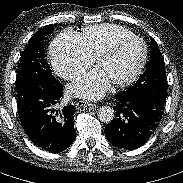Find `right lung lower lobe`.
I'll return each instance as SVG.
<instances>
[{"instance_id": "98d812e1", "label": "right lung lower lobe", "mask_w": 183, "mask_h": 183, "mask_svg": "<svg viewBox=\"0 0 183 183\" xmlns=\"http://www.w3.org/2000/svg\"><path fill=\"white\" fill-rule=\"evenodd\" d=\"M63 98L60 82L47 87L27 88L17 97L18 115L29 139L51 153L62 152L75 140L72 105L59 107Z\"/></svg>"}]
</instances>
